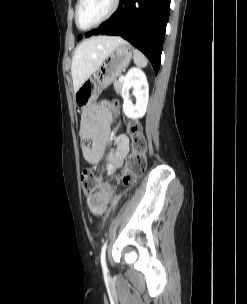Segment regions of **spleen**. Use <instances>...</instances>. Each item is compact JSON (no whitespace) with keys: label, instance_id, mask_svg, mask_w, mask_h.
Wrapping results in <instances>:
<instances>
[{"label":"spleen","instance_id":"obj_1","mask_svg":"<svg viewBox=\"0 0 247 304\" xmlns=\"http://www.w3.org/2000/svg\"><path fill=\"white\" fill-rule=\"evenodd\" d=\"M133 54H134V63L138 67H146L148 62L146 57L144 56L143 53H141L138 49H133Z\"/></svg>","mask_w":247,"mask_h":304}]
</instances>
